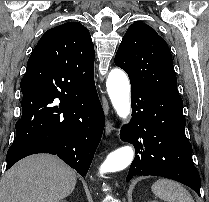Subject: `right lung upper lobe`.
I'll return each instance as SVG.
<instances>
[{
  "instance_id": "1",
  "label": "right lung upper lobe",
  "mask_w": 209,
  "mask_h": 202,
  "mask_svg": "<svg viewBox=\"0 0 209 202\" xmlns=\"http://www.w3.org/2000/svg\"><path fill=\"white\" fill-rule=\"evenodd\" d=\"M94 56L87 28L79 22H67L44 33L27 69H46L62 86L83 89L94 83Z\"/></svg>"
}]
</instances>
